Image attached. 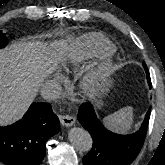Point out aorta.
Here are the masks:
<instances>
[{
  "label": "aorta",
  "instance_id": "1",
  "mask_svg": "<svg viewBox=\"0 0 165 165\" xmlns=\"http://www.w3.org/2000/svg\"><path fill=\"white\" fill-rule=\"evenodd\" d=\"M68 138L72 146L78 151L86 152L92 147V137L90 133L83 128L74 127L70 129Z\"/></svg>",
  "mask_w": 165,
  "mask_h": 165
}]
</instances>
